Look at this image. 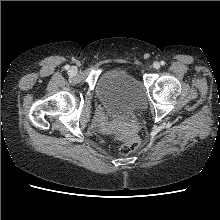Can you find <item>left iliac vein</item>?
<instances>
[{
    "mask_svg": "<svg viewBox=\"0 0 220 220\" xmlns=\"http://www.w3.org/2000/svg\"><path fill=\"white\" fill-rule=\"evenodd\" d=\"M153 67L155 68V69H159L160 68V63L159 62H154L153 63Z\"/></svg>",
    "mask_w": 220,
    "mask_h": 220,
    "instance_id": "left-iliac-vein-1",
    "label": "left iliac vein"
}]
</instances>
